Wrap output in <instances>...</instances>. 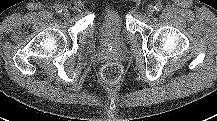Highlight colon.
I'll list each match as a JSON object with an SVG mask.
<instances>
[{
    "instance_id": "colon-1",
    "label": "colon",
    "mask_w": 217,
    "mask_h": 121,
    "mask_svg": "<svg viewBox=\"0 0 217 121\" xmlns=\"http://www.w3.org/2000/svg\"><path fill=\"white\" fill-rule=\"evenodd\" d=\"M123 75V68L117 62H108L101 67L100 76L107 84H114L120 81Z\"/></svg>"
}]
</instances>
